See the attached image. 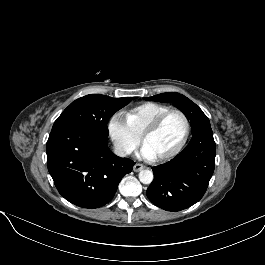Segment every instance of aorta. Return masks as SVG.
Wrapping results in <instances>:
<instances>
[{
  "mask_svg": "<svg viewBox=\"0 0 265 265\" xmlns=\"http://www.w3.org/2000/svg\"><path fill=\"white\" fill-rule=\"evenodd\" d=\"M139 180L143 184H150L153 181V173L151 170H142L139 173Z\"/></svg>",
  "mask_w": 265,
  "mask_h": 265,
  "instance_id": "aorta-1",
  "label": "aorta"
}]
</instances>
